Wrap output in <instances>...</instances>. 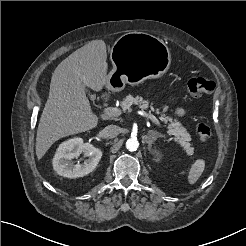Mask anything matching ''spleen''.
Returning <instances> with one entry per match:
<instances>
[{"mask_svg":"<svg viewBox=\"0 0 246 246\" xmlns=\"http://www.w3.org/2000/svg\"><path fill=\"white\" fill-rule=\"evenodd\" d=\"M204 168L205 161L203 159H198L194 162L188 173V181L190 184H194L199 179L204 171Z\"/></svg>","mask_w":246,"mask_h":246,"instance_id":"obj_1","label":"spleen"}]
</instances>
